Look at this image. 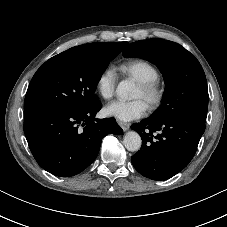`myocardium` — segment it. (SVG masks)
I'll use <instances>...</instances> for the list:
<instances>
[{"instance_id": "obj_1", "label": "myocardium", "mask_w": 227, "mask_h": 227, "mask_svg": "<svg viewBox=\"0 0 227 227\" xmlns=\"http://www.w3.org/2000/svg\"><path fill=\"white\" fill-rule=\"evenodd\" d=\"M142 91V98L146 102L150 110H156L162 104L165 97V89L163 85L155 80L151 82L139 83Z\"/></svg>"}]
</instances>
